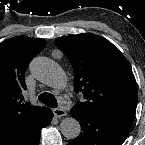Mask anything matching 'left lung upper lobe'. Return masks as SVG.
<instances>
[{
    "label": "left lung upper lobe",
    "mask_w": 145,
    "mask_h": 145,
    "mask_svg": "<svg viewBox=\"0 0 145 145\" xmlns=\"http://www.w3.org/2000/svg\"><path fill=\"white\" fill-rule=\"evenodd\" d=\"M56 46L74 70V88L84 101L72 109L135 116L137 84L125 56L107 39L94 34L57 38Z\"/></svg>",
    "instance_id": "5c2ea615"
}]
</instances>
